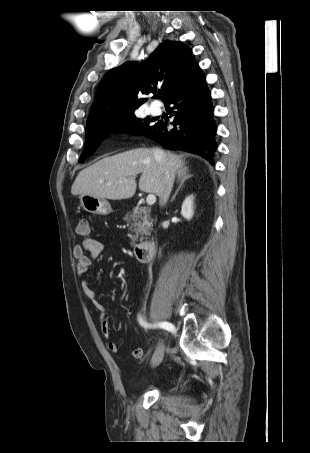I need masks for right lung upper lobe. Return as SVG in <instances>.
<instances>
[{"label": "right lung upper lobe", "instance_id": "1", "mask_svg": "<svg viewBox=\"0 0 310 453\" xmlns=\"http://www.w3.org/2000/svg\"><path fill=\"white\" fill-rule=\"evenodd\" d=\"M192 52L179 42L160 44L142 64L124 63L102 78L86 129L133 113L147 99L139 95L162 90L165 103L197 70Z\"/></svg>", "mask_w": 310, "mask_h": 453}]
</instances>
